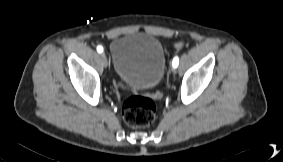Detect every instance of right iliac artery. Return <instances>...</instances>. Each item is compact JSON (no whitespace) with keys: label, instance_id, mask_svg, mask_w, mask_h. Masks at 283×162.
I'll return each mask as SVG.
<instances>
[{"label":"right iliac artery","instance_id":"obj_1","mask_svg":"<svg viewBox=\"0 0 283 162\" xmlns=\"http://www.w3.org/2000/svg\"><path fill=\"white\" fill-rule=\"evenodd\" d=\"M97 51H98V53H102L103 52V47L99 45L97 47Z\"/></svg>","mask_w":283,"mask_h":162}]
</instances>
